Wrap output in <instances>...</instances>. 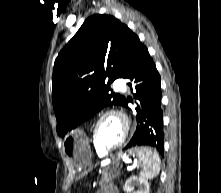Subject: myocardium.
<instances>
[{
    "label": "myocardium",
    "mask_w": 221,
    "mask_h": 193,
    "mask_svg": "<svg viewBox=\"0 0 221 193\" xmlns=\"http://www.w3.org/2000/svg\"><path fill=\"white\" fill-rule=\"evenodd\" d=\"M107 116H115V117L119 118V120L123 124V134H122L121 139L119 140V142L117 144H115L114 146H111V147L104 146L98 140V135H97V129H98L100 122ZM129 130H130V122H129L127 115L124 112H122L119 109H114V108L106 109L99 114V116L96 118V120L94 122L93 129H92L93 143L98 149H100L104 153L116 150L124 144L125 140L127 139L128 134H129Z\"/></svg>",
    "instance_id": "f54148a6"
}]
</instances>
